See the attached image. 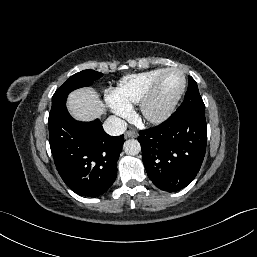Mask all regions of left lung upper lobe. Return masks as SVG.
<instances>
[{
	"label": "left lung upper lobe",
	"instance_id": "left-lung-upper-lobe-1",
	"mask_svg": "<svg viewBox=\"0 0 257 257\" xmlns=\"http://www.w3.org/2000/svg\"><path fill=\"white\" fill-rule=\"evenodd\" d=\"M189 85L183 103L178 111L205 110L204 102L200 96L196 81L189 76Z\"/></svg>",
	"mask_w": 257,
	"mask_h": 257
}]
</instances>
